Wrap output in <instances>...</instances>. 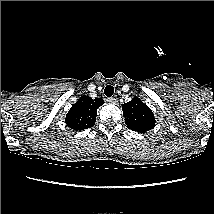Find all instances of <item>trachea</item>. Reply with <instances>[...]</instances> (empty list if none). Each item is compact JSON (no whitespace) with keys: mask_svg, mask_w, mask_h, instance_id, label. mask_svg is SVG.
I'll return each instance as SVG.
<instances>
[{"mask_svg":"<svg viewBox=\"0 0 214 214\" xmlns=\"http://www.w3.org/2000/svg\"><path fill=\"white\" fill-rule=\"evenodd\" d=\"M104 93L107 97H111L114 94V88L111 85H107L104 89Z\"/></svg>","mask_w":214,"mask_h":214,"instance_id":"1","label":"trachea"}]
</instances>
